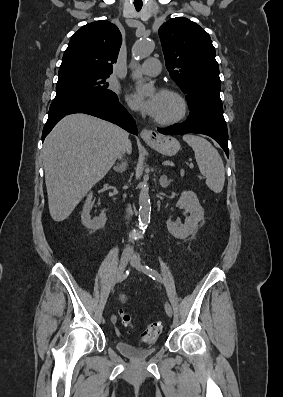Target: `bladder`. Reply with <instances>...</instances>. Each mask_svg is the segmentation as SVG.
<instances>
[{"mask_svg": "<svg viewBox=\"0 0 283 397\" xmlns=\"http://www.w3.org/2000/svg\"><path fill=\"white\" fill-rule=\"evenodd\" d=\"M115 348L123 356L135 361L145 360L155 354L158 350L156 345L142 348L124 341L117 342L115 344Z\"/></svg>", "mask_w": 283, "mask_h": 397, "instance_id": "1", "label": "bladder"}]
</instances>
